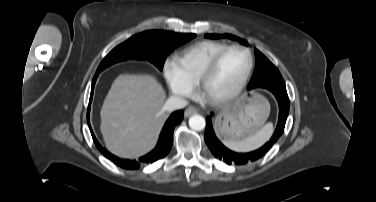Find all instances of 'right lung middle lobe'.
I'll use <instances>...</instances> for the list:
<instances>
[{
    "mask_svg": "<svg viewBox=\"0 0 376 202\" xmlns=\"http://www.w3.org/2000/svg\"><path fill=\"white\" fill-rule=\"evenodd\" d=\"M196 34L170 31H145L115 47L99 65L95 77L108 66L127 59H145L162 70L166 57L176 47L188 42Z\"/></svg>",
    "mask_w": 376,
    "mask_h": 202,
    "instance_id": "obj_1",
    "label": "right lung middle lobe"
}]
</instances>
